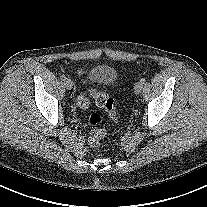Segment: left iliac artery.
I'll use <instances>...</instances> for the list:
<instances>
[{
  "label": "left iliac artery",
  "instance_id": "1",
  "mask_svg": "<svg viewBox=\"0 0 207 207\" xmlns=\"http://www.w3.org/2000/svg\"><path fill=\"white\" fill-rule=\"evenodd\" d=\"M145 81H146V79H145V78L140 79V82H141L142 84H144V83H145Z\"/></svg>",
  "mask_w": 207,
  "mask_h": 207
}]
</instances>
